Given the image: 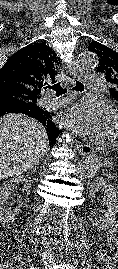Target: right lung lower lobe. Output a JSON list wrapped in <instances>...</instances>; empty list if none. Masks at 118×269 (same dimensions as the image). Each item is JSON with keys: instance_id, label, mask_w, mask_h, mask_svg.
<instances>
[{"instance_id": "right-lung-lower-lobe-1", "label": "right lung lower lobe", "mask_w": 118, "mask_h": 269, "mask_svg": "<svg viewBox=\"0 0 118 269\" xmlns=\"http://www.w3.org/2000/svg\"><path fill=\"white\" fill-rule=\"evenodd\" d=\"M34 111H35L34 107L23 102L12 101V100L0 102V117L8 113H23L31 117ZM59 133L60 132L57 130L56 134L50 140L51 143H53L52 141L55 140V138L57 137Z\"/></svg>"}]
</instances>
